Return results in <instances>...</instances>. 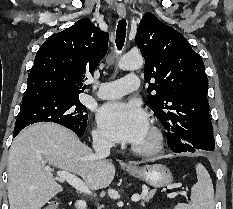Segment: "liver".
I'll return each instance as SVG.
<instances>
[{"label":"liver","mask_w":233,"mask_h":209,"mask_svg":"<svg viewBox=\"0 0 233 209\" xmlns=\"http://www.w3.org/2000/svg\"><path fill=\"white\" fill-rule=\"evenodd\" d=\"M49 166L79 175L91 190L106 188L115 176L112 161L93 153L72 131L35 124L18 134L9 151L10 209H41L63 191Z\"/></svg>","instance_id":"6515ba94"}]
</instances>
